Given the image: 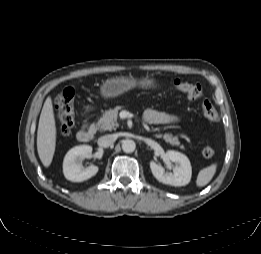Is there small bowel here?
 <instances>
[{"label":"small bowel","instance_id":"1","mask_svg":"<svg viewBox=\"0 0 261 254\" xmlns=\"http://www.w3.org/2000/svg\"><path fill=\"white\" fill-rule=\"evenodd\" d=\"M176 117L155 109H148L144 113V120L148 124H168L176 121Z\"/></svg>","mask_w":261,"mask_h":254}]
</instances>
